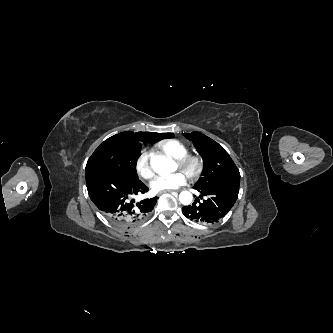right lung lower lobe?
Returning a JSON list of instances; mask_svg holds the SVG:
<instances>
[{
	"instance_id": "obj_1",
	"label": "right lung lower lobe",
	"mask_w": 333,
	"mask_h": 333,
	"mask_svg": "<svg viewBox=\"0 0 333 333\" xmlns=\"http://www.w3.org/2000/svg\"><path fill=\"white\" fill-rule=\"evenodd\" d=\"M85 174L90 199L108 220L120 228H129L145 219L158 199L135 202L136 195L148 191L140 180L104 169H91Z\"/></svg>"
}]
</instances>
